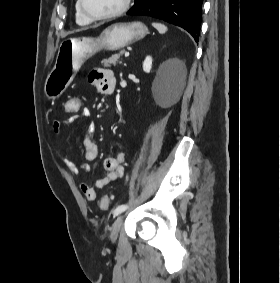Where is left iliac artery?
<instances>
[{"mask_svg": "<svg viewBox=\"0 0 280 283\" xmlns=\"http://www.w3.org/2000/svg\"><path fill=\"white\" fill-rule=\"evenodd\" d=\"M127 208H128V205H126V204L119 205V206L113 211L114 217H115V216H118L119 214H121L122 212H124Z\"/></svg>", "mask_w": 280, "mask_h": 283, "instance_id": "left-iliac-artery-1", "label": "left iliac artery"}]
</instances>
